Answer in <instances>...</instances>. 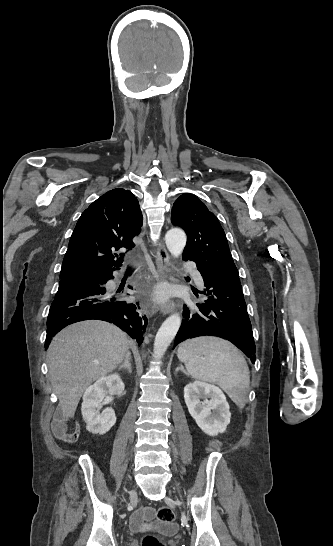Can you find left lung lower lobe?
Returning a JSON list of instances; mask_svg holds the SVG:
<instances>
[{
	"label": "left lung lower lobe",
	"instance_id": "obj_1",
	"mask_svg": "<svg viewBox=\"0 0 333 546\" xmlns=\"http://www.w3.org/2000/svg\"><path fill=\"white\" fill-rule=\"evenodd\" d=\"M184 260L196 263L208 298L191 308L184 306L183 321L174 347L198 336H218L229 340L255 363V343L239 277L217 276L189 255Z\"/></svg>",
	"mask_w": 333,
	"mask_h": 546
}]
</instances>
